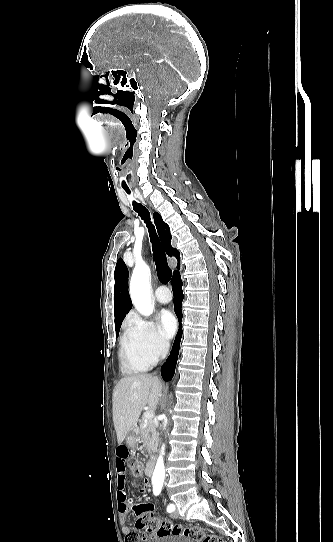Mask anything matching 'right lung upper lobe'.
I'll list each match as a JSON object with an SVG mask.
<instances>
[{"instance_id": "right-lung-upper-lobe-1", "label": "right lung upper lobe", "mask_w": 333, "mask_h": 542, "mask_svg": "<svg viewBox=\"0 0 333 542\" xmlns=\"http://www.w3.org/2000/svg\"><path fill=\"white\" fill-rule=\"evenodd\" d=\"M158 234L164 246L166 253L175 257L179 256L177 249L171 246V234L169 226L162 220L158 213L153 214ZM132 308V302L128 292V269L120 258L115 267V287H114V312L115 327H120L121 323Z\"/></svg>"}]
</instances>
